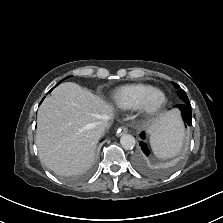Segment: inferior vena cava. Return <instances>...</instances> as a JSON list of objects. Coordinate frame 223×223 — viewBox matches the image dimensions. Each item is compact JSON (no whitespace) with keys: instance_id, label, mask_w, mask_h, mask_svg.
Returning <instances> with one entry per match:
<instances>
[{"instance_id":"inferior-vena-cava-1","label":"inferior vena cava","mask_w":223,"mask_h":223,"mask_svg":"<svg viewBox=\"0 0 223 223\" xmlns=\"http://www.w3.org/2000/svg\"><path fill=\"white\" fill-rule=\"evenodd\" d=\"M109 122L107 120L99 121L96 123V130L100 135H102L106 128L109 127Z\"/></svg>"}]
</instances>
